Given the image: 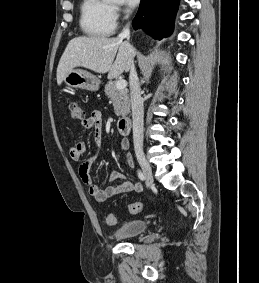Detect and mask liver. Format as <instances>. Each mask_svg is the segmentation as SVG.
I'll use <instances>...</instances> for the list:
<instances>
[{"instance_id": "1", "label": "liver", "mask_w": 259, "mask_h": 283, "mask_svg": "<svg viewBox=\"0 0 259 283\" xmlns=\"http://www.w3.org/2000/svg\"><path fill=\"white\" fill-rule=\"evenodd\" d=\"M134 56V47L119 37H75L69 41L59 61L57 83L60 85L75 67H84L100 74L108 73L110 79L115 78L130 70Z\"/></svg>"}]
</instances>
